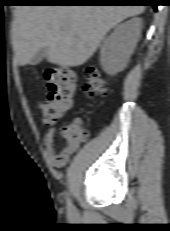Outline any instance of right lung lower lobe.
<instances>
[{"instance_id": "1", "label": "right lung lower lobe", "mask_w": 170, "mask_h": 231, "mask_svg": "<svg viewBox=\"0 0 170 231\" xmlns=\"http://www.w3.org/2000/svg\"><path fill=\"white\" fill-rule=\"evenodd\" d=\"M159 0H27L28 5H150L157 10Z\"/></svg>"}]
</instances>
